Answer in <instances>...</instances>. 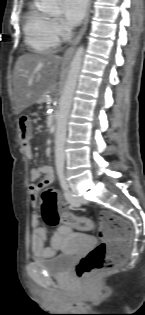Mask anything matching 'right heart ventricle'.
Here are the masks:
<instances>
[{"mask_svg":"<svg viewBox=\"0 0 145 315\" xmlns=\"http://www.w3.org/2000/svg\"><path fill=\"white\" fill-rule=\"evenodd\" d=\"M52 20L40 12L32 3L24 19L23 31L28 48L37 54H45L55 49L59 43L57 34L52 28Z\"/></svg>","mask_w":145,"mask_h":315,"instance_id":"right-heart-ventricle-1","label":"right heart ventricle"}]
</instances>
